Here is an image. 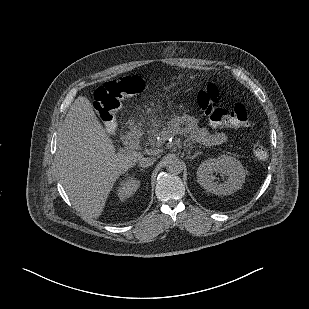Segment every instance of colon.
<instances>
[{
  "mask_svg": "<svg viewBox=\"0 0 309 309\" xmlns=\"http://www.w3.org/2000/svg\"><path fill=\"white\" fill-rule=\"evenodd\" d=\"M145 81L136 75H128L108 81L100 86L95 93V101L100 117L108 131L117 126V113L123 107L128 97L145 90ZM200 110L213 127L246 126L249 121L247 108L242 103H236L228 110L220 105L218 87L208 82L197 95ZM254 155L260 160L268 156L263 144L254 145Z\"/></svg>",
  "mask_w": 309,
  "mask_h": 309,
  "instance_id": "5ec220e1",
  "label": "colon"
}]
</instances>
